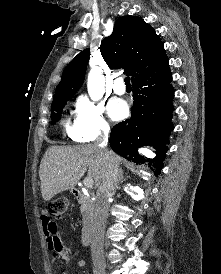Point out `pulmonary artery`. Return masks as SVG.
Here are the masks:
<instances>
[{
    "label": "pulmonary artery",
    "mask_w": 221,
    "mask_h": 274,
    "mask_svg": "<svg viewBox=\"0 0 221 274\" xmlns=\"http://www.w3.org/2000/svg\"><path fill=\"white\" fill-rule=\"evenodd\" d=\"M113 89H114V92L118 95H122L125 93L126 88L123 83V79L121 77H118L115 79Z\"/></svg>",
    "instance_id": "e3ab8cb5"
}]
</instances>
